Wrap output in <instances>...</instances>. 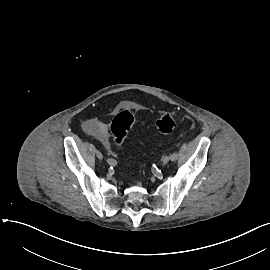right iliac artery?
Segmentation results:
<instances>
[{"label":"right iliac artery","mask_w":270,"mask_h":270,"mask_svg":"<svg viewBox=\"0 0 270 270\" xmlns=\"http://www.w3.org/2000/svg\"><path fill=\"white\" fill-rule=\"evenodd\" d=\"M107 162L111 166H115L117 164L116 160L115 159H112V158H108L107 159Z\"/></svg>","instance_id":"right-iliac-artery-1"}]
</instances>
